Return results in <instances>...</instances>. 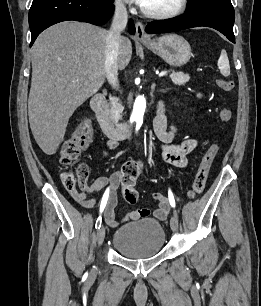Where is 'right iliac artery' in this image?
<instances>
[{
    "instance_id": "obj_1",
    "label": "right iliac artery",
    "mask_w": 261,
    "mask_h": 306,
    "mask_svg": "<svg viewBox=\"0 0 261 306\" xmlns=\"http://www.w3.org/2000/svg\"><path fill=\"white\" fill-rule=\"evenodd\" d=\"M107 193L108 192L106 191V193L103 195V198H102V201H101V206H100V212L103 211V208L105 207V204L107 202V198H108ZM101 223H102V217H101V215H99V217L97 218V221H96V229L101 227Z\"/></svg>"
}]
</instances>
